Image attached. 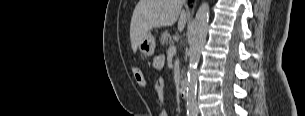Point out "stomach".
<instances>
[{"instance_id": "stomach-1", "label": "stomach", "mask_w": 305, "mask_h": 116, "mask_svg": "<svg viewBox=\"0 0 305 116\" xmlns=\"http://www.w3.org/2000/svg\"><path fill=\"white\" fill-rule=\"evenodd\" d=\"M139 51L147 56H151L155 52L156 42L154 36L148 32L144 35L138 45Z\"/></svg>"}]
</instances>
